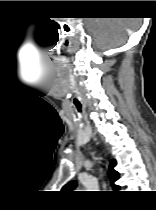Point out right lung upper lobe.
<instances>
[{"instance_id":"obj_1","label":"right lung upper lobe","mask_w":156,"mask_h":210,"mask_svg":"<svg viewBox=\"0 0 156 210\" xmlns=\"http://www.w3.org/2000/svg\"><path fill=\"white\" fill-rule=\"evenodd\" d=\"M115 165H116V161L112 160L109 166L108 176H109L112 187L115 189H118L119 187L114 184L115 181L119 179V173L114 170ZM76 185H77L76 182L71 181L67 185H65V187H68V189H74Z\"/></svg>"}]
</instances>
